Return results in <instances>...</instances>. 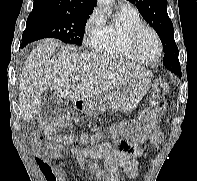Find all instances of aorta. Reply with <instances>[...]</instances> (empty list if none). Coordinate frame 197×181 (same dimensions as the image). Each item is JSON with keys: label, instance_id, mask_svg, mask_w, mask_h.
<instances>
[{"label": "aorta", "instance_id": "762f6f07", "mask_svg": "<svg viewBox=\"0 0 197 181\" xmlns=\"http://www.w3.org/2000/svg\"><path fill=\"white\" fill-rule=\"evenodd\" d=\"M98 4L104 7L106 10H110L114 0H97Z\"/></svg>", "mask_w": 197, "mask_h": 181}]
</instances>
